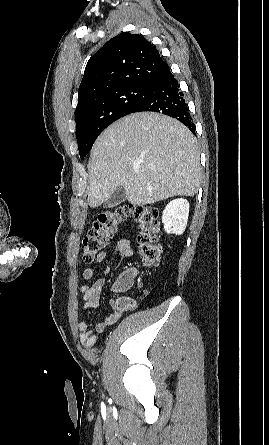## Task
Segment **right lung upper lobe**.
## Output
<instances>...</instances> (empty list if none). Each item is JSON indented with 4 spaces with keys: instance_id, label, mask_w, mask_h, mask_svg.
Here are the masks:
<instances>
[{
    "instance_id": "1",
    "label": "right lung upper lobe",
    "mask_w": 269,
    "mask_h": 445,
    "mask_svg": "<svg viewBox=\"0 0 269 445\" xmlns=\"http://www.w3.org/2000/svg\"><path fill=\"white\" fill-rule=\"evenodd\" d=\"M168 65L142 35L123 32L88 61L78 89V110L87 101L127 85H150Z\"/></svg>"
}]
</instances>
